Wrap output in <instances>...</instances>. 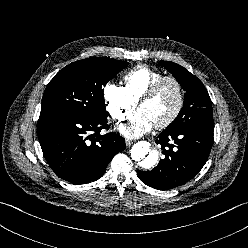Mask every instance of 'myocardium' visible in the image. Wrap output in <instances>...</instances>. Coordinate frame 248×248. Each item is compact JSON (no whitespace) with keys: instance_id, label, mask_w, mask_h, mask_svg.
I'll return each mask as SVG.
<instances>
[{"instance_id":"myocardium-1","label":"myocardium","mask_w":248,"mask_h":248,"mask_svg":"<svg viewBox=\"0 0 248 248\" xmlns=\"http://www.w3.org/2000/svg\"><path fill=\"white\" fill-rule=\"evenodd\" d=\"M167 81L172 82L176 86L178 93V103L173 113L167 119L154 125L156 129H164L170 126L182 112L185 103V92L181 82L173 76H162L150 85V87L145 91V93L137 102V106L139 108L140 105L149 101L157 93L161 85Z\"/></svg>"}]
</instances>
